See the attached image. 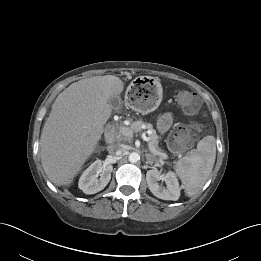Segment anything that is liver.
I'll return each instance as SVG.
<instances>
[{
    "instance_id": "liver-1",
    "label": "liver",
    "mask_w": 261,
    "mask_h": 261,
    "mask_svg": "<svg viewBox=\"0 0 261 261\" xmlns=\"http://www.w3.org/2000/svg\"><path fill=\"white\" fill-rule=\"evenodd\" d=\"M123 88L116 76H95L71 84L57 96L40 139L43 170L56 186L71 185L94 152L111 115L108 100Z\"/></svg>"
}]
</instances>
